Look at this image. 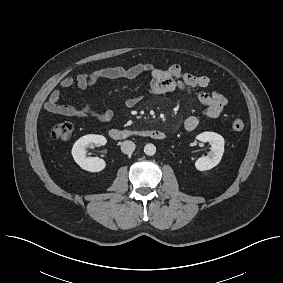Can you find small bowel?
Segmentation results:
<instances>
[{
	"mask_svg": "<svg viewBox=\"0 0 283 283\" xmlns=\"http://www.w3.org/2000/svg\"><path fill=\"white\" fill-rule=\"evenodd\" d=\"M144 73L150 76L148 92L152 95H162L174 90L192 94L196 88L205 89L204 91L198 92L196 96L205 106L204 114L208 118L219 117L228 103L227 98L222 93L210 88L211 81L208 76L185 72L179 64H172L165 69L158 68L150 63L98 68L88 73L66 76L61 80L60 86L62 88H72L76 86L81 90H86L103 78L133 79ZM60 99V90L53 89L45 103L46 111L77 118L92 117L101 122H108L113 116L112 111L97 110L89 101L81 107H74L60 104ZM140 99L141 97L138 95L130 96L124 102V107L127 109L132 108ZM198 124L199 119L194 115L188 116L184 120V127L188 131L195 130Z\"/></svg>",
	"mask_w": 283,
	"mask_h": 283,
	"instance_id": "c3829d8e",
	"label": "small bowel"
}]
</instances>
